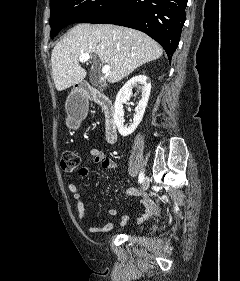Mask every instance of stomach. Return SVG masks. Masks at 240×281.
Listing matches in <instances>:
<instances>
[{"instance_id": "1", "label": "stomach", "mask_w": 240, "mask_h": 281, "mask_svg": "<svg viewBox=\"0 0 240 281\" xmlns=\"http://www.w3.org/2000/svg\"><path fill=\"white\" fill-rule=\"evenodd\" d=\"M78 88L73 89L66 103V124L69 128H76L84 118L86 110L76 99Z\"/></svg>"}]
</instances>
